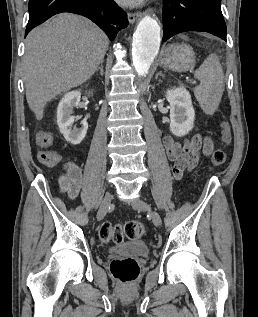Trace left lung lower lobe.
I'll use <instances>...</instances> for the list:
<instances>
[{"label":"left lung lower lobe","instance_id":"0a47b994","mask_svg":"<svg viewBox=\"0 0 258 317\" xmlns=\"http://www.w3.org/2000/svg\"><path fill=\"white\" fill-rule=\"evenodd\" d=\"M163 38L186 31H204L226 41L221 0H164Z\"/></svg>","mask_w":258,"mask_h":317}]
</instances>
